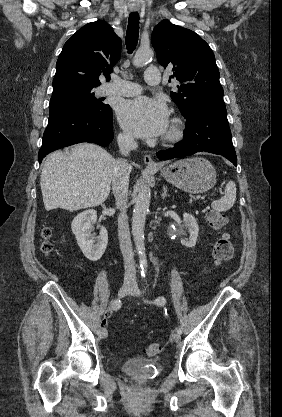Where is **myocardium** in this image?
Listing matches in <instances>:
<instances>
[{
	"instance_id": "1",
	"label": "myocardium",
	"mask_w": 282,
	"mask_h": 417,
	"mask_svg": "<svg viewBox=\"0 0 282 417\" xmlns=\"http://www.w3.org/2000/svg\"><path fill=\"white\" fill-rule=\"evenodd\" d=\"M184 135L182 121L172 119L168 130L163 135V140L169 143L179 141Z\"/></svg>"
}]
</instances>
